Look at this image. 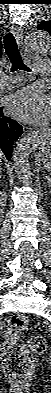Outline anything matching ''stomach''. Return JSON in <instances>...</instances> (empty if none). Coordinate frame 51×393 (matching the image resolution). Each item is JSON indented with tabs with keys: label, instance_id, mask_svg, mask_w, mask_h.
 <instances>
[{
	"label": "stomach",
	"instance_id": "1",
	"mask_svg": "<svg viewBox=\"0 0 51 393\" xmlns=\"http://www.w3.org/2000/svg\"><path fill=\"white\" fill-rule=\"evenodd\" d=\"M42 157L44 159H46L47 161H51V153H50V151L49 150H44L42 152Z\"/></svg>",
	"mask_w": 51,
	"mask_h": 393
}]
</instances>
